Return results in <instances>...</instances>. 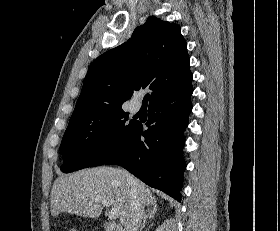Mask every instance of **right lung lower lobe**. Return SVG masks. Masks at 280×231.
Masks as SVG:
<instances>
[{
    "mask_svg": "<svg viewBox=\"0 0 280 231\" xmlns=\"http://www.w3.org/2000/svg\"><path fill=\"white\" fill-rule=\"evenodd\" d=\"M189 85L149 105L148 130L135 124L104 164L121 165L147 185L162 190L177 201L186 163L182 157L184 130L192 110ZM141 136L145 138L141 141Z\"/></svg>",
    "mask_w": 280,
    "mask_h": 231,
    "instance_id": "right-lung-lower-lobe-1",
    "label": "right lung lower lobe"
}]
</instances>
